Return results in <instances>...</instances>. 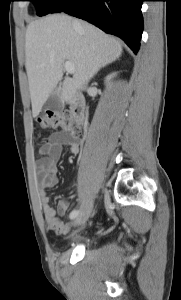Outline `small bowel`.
<instances>
[{"instance_id":"c3829d8e","label":"small bowel","mask_w":181,"mask_h":300,"mask_svg":"<svg viewBox=\"0 0 181 300\" xmlns=\"http://www.w3.org/2000/svg\"><path fill=\"white\" fill-rule=\"evenodd\" d=\"M64 146H69L71 153L76 154L80 150L77 141L68 139L63 133H53L40 149V158L37 162L36 182L39 186L38 197L42 206L43 215L48 227L57 234H65L69 230V224L62 222L58 214H64L68 209L67 201H60L55 210L50 205L47 190L58 183L57 163L61 157Z\"/></svg>"}]
</instances>
